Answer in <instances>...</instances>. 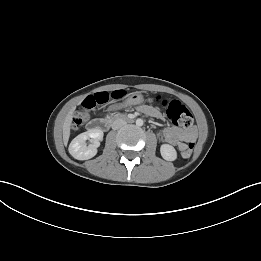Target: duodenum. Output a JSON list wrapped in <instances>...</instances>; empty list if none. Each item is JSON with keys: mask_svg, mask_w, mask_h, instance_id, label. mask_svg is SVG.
Instances as JSON below:
<instances>
[{"mask_svg": "<svg viewBox=\"0 0 261 261\" xmlns=\"http://www.w3.org/2000/svg\"><path fill=\"white\" fill-rule=\"evenodd\" d=\"M123 120H125L127 122H133L134 117L126 116L123 118ZM111 124H112L111 119H99V120H95L91 123V129L106 131L110 128Z\"/></svg>", "mask_w": 261, "mask_h": 261, "instance_id": "duodenum-1", "label": "duodenum"}]
</instances>
